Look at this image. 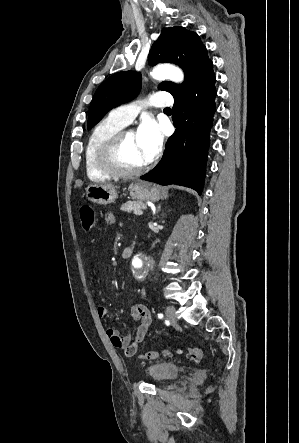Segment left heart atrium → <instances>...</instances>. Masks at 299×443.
Wrapping results in <instances>:
<instances>
[{
    "mask_svg": "<svg viewBox=\"0 0 299 443\" xmlns=\"http://www.w3.org/2000/svg\"><path fill=\"white\" fill-rule=\"evenodd\" d=\"M137 140L145 163L151 162L159 153L163 134L159 123L150 117L145 118L137 132Z\"/></svg>",
    "mask_w": 299,
    "mask_h": 443,
    "instance_id": "1",
    "label": "left heart atrium"
}]
</instances>
